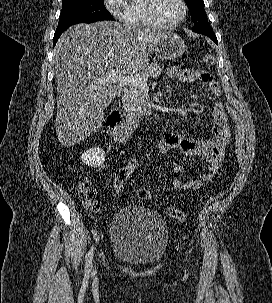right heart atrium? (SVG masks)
<instances>
[{
  "label": "right heart atrium",
  "instance_id": "1",
  "mask_svg": "<svg viewBox=\"0 0 272 303\" xmlns=\"http://www.w3.org/2000/svg\"><path fill=\"white\" fill-rule=\"evenodd\" d=\"M127 0H105V6L109 12L117 18L122 19Z\"/></svg>",
  "mask_w": 272,
  "mask_h": 303
}]
</instances>
